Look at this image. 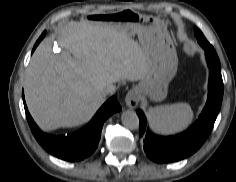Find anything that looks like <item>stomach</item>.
Instances as JSON below:
<instances>
[{
    "mask_svg": "<svg viewBox=\"0 0 236 182\" xmlns=\"http://www.w3.org/2000/svg\"><path fill=\"white\" fill-rule=\"evenodd\" d=\"M112 23L129 36L138 35L148 48L147 72L141 82L133 88L139 98L162 101L167 87L175 76L178 58L166 25L157 17L126 9L109 16Z\"/></svg>",
    "mask_w": 236,
    "mask_h": 182,
    "instance_id": "stomach-1",
    "label": "stomach"
}]
</instances>
